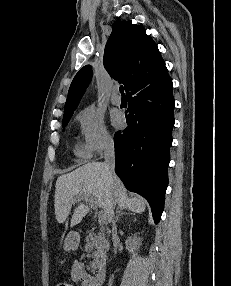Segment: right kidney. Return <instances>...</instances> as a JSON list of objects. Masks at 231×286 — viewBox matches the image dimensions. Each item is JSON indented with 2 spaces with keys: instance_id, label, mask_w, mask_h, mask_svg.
<instances>
[{
  "instance_id": "1",
  "label": "right kidney",
  "mask_w": 231,
  "mask_h": 286,
  "mask_svg": "<svg viewBox=\"0 0 231 286\" xmlns=\"http://www.w3.org/2000/svg\"><path fill=\"white\" fill-rule=\"evenodd\" d=\"M141 238H137L136 235H134V237H128V239L126 240L125 244H126V249L129 251V253H133L135 248L137 246L141 245Z\"/></svg>"
}]
</instances>
